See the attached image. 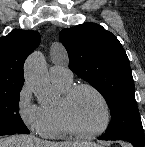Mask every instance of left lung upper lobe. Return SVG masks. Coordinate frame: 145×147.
<instances>
[{"label":"left lung upper lobe","mask_w":145,"mask_h":147,"mask_svg":"<svg viewBox=\"0 0 145 147\" xmlns=\"http://www.w3.org/2000/svg\"><path fill=\"white\" fill-rule=\"evenodd\" d=\"M69 68L105 98L111 122L106 138L144 143L129 59L118 39L102 26L84 23L61 31Z\"/></svg>","instance_id":"obj_1"}]
</instances>
